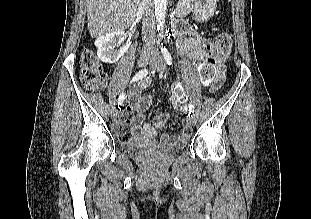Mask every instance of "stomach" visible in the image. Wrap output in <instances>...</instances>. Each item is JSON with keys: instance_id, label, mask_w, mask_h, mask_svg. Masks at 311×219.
Returning <instances> with one entry per match:
<instances>
[{"instance_id": "stomach-1", "label": "stomach", "mask_w": 311, "mask_h": 219, "mask_svg": "<svg viewBox=\"0 0 311 219\" xmlns=\"http://www.w3.org/2000/svg\"><path fill=\"white\" fill-rule=\"evenodd\" d=\"M194 17L199 22H207L214 14L217 0H194Z\"/></svg>"}]
</instances>
